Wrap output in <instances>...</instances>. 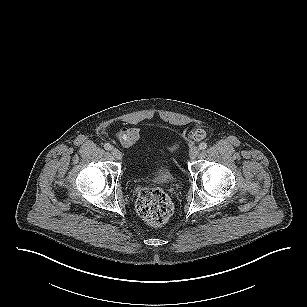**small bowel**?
I'll use <instances>...</instances> for the list:
<instances>
[{
  "instance_id": "c3829d8e",
  "label": "small bowel",
  "mask_w": 307,
  "mask_h": 307,
  "mask_svg": "<svg viewBox=\"0 0 307 307\" xmlns=\"http://www.w3.org/2000/svg\"><path fill=\"white\" fill-rule=\"evenodd\" d=\"M115 138L120 142L123 147H131L140 138V128L135 126L122 128L115 133Z\"/></svg>"
}]
</instances>
